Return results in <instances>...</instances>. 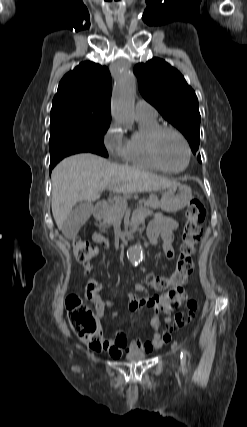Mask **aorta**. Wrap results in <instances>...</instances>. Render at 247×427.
I'll return each instance as SVG.
<instances>
[{"mask_svg": "<svg viewBox=\"0 0 247 427\" xmlns=\"http://www.w3.org/2000/svg\"><path fill=\"white\" fill-rule=\"evenodd\" d=\"M136 94V78L132 71L121 69L117 75L112 93V117L123 125H132L134 122V98ZM128 259L137 265L142 259V250L139 245L130 247L127 251Z\"/></svg>", "mask_w": 247, "mask_h": 427, "instance_id": "obj_1", "label": "aorta"}]
</instances>
